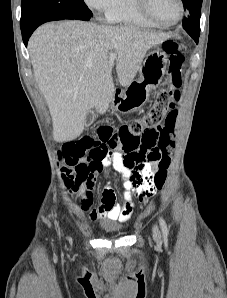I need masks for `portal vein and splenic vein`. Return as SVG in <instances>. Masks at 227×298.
Returning a JSON list of instances; mask_svg holds the SVG:
<instances>
[{
    "label": "portal vein and splenic vein",
    "mask_w": 227,
    "mask_h": 298,
    "mask_svg": "<svg viewBox=\"0 0 227 298\" xmlns=\"http://www.w3.org/2000/svg\"><path fill=\"white\" fill-rule=\"evenodd\" d=\"M115 59H116V54L113 53V52H111V53L109 54V60H108L109 64H110V65H114V63H115Z\"/></svg>",
    "instance_id": "1"
}]
</instances>
